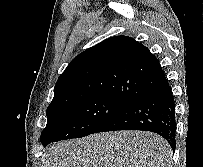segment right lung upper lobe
Instances as JSON below:
<instances>
[{
	"label": "right lung upper lobe",
	"instance_id": "cb5924a9",
	"mask_svg": "<svg viewBox=\"0 0 203 167\" xmlns=\"http://www.w3.org/2000/svg\"><path fill=\"white\" fill-rule=\"evenodd\" d=\"M166 81L159 60L147 47L128 36H114L71 61L56 82L48 108L88 96L131 103Z\"/></svg>",
	"mask_w": 203,
	"mask_h": 167
}]
</instances>
